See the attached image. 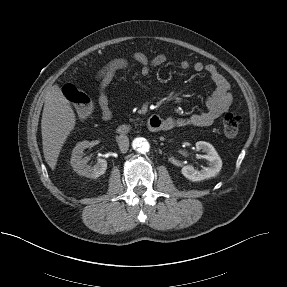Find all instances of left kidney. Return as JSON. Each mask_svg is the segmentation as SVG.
<instances>
[{"mask_svg": "<svg viewBox=\"0 0 287 287\" xmlns=\"http://www.w3.org/2000/svg\"><path fill=\"white\" fill-rule=\"evenodd\" d=\"M196 149L206 153L203 155V158L209 162L208 167L196 170L192 166L186 165L181 169L183 176L192 182H199L216 177L222 168V160L215 148L210 143L198 141L196 143Z\"/></svg>", "mask_w": 287, "mask_h": 287, "instance_id": "left-kidney-1", "label": "left kidney"}]
</instances>
